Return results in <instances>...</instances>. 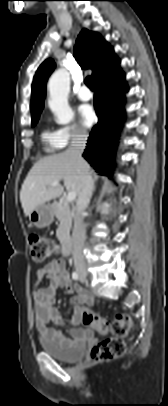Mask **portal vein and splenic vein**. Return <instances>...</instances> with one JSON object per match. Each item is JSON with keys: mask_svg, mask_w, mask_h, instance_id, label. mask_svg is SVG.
<instances>
[{"mask_svg": "<svg viewBox=\"0 0 168 406\" xmlns=\"http://www.w3.org/2000/svg\"><path fill=\"white\" fill-rule=\"evenodd\" d=\"M50 186L51 187H57V186H60V184H59L58 181H55V182L50 183ZM75 198H76V193L75 192H69L67 197H66V200L68 202H72L73 200H75Z\"/></svg>", "mask_w": 168, "mask_h": 406, "instance_id": "portal-vein-and-splenic-vein-1", "label": "portal vein and splenic vein"}]
</instances>
